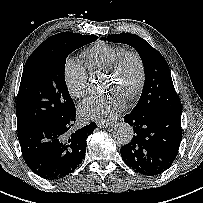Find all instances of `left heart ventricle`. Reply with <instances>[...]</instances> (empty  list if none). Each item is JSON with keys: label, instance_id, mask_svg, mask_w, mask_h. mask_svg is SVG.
I'll return each instance as SVG.
<instances>
[{"label": "left heart ventricle", "instance_id": "left-heart-ventricle-1", "mask_svg": "<svg viewBox=\"0 0 203 203\" xmlns=\"http://www.w3.org/2000/svg\"><path fill=\"white\" fill-rule=\"evenodd\" d=\"M138 77V66L135 60L128 59L120 70L111 76V89L121 96H126L135 86Z\"/></svg>", "mask_w": 203, "mask_h": 203}]
</instances>
